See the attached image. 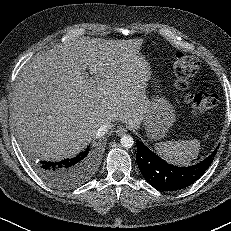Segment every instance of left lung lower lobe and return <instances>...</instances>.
Wrapping results in <instances>:
<instances>
[{
    "instance_id": "left-lung-lower-lobe-1",
    "label": "left lung lower lobe",
    "mask_w": 231,
    "mask_h": 231,
    "mask_svg": "<svg viewBox=\"0 0 231 231\" xmlns=\"http://www.w3.org/2000/svg\"><path fill=\"white\" fill-rule=\"evenodd\" d=\"M217 149L206 159L190 167H177L168 164L137 141V165L143 177L153 187L161 191H174L183 189L199 179L212 163Z\"/></svg>"
}]
</instances>
